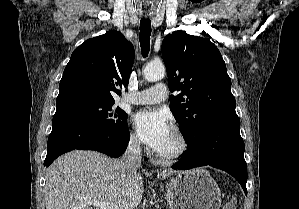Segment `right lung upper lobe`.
<instances>
[{
	"instance_id": "1",
	"label": "right lung upper lobe",
	"mask_w": 299,
	"mask_h": 209,
	"mask_svg": "<svg viewBox=\"0 0 299 209\" xmlns=\"http://www.w3.org/2000/svg\"><path fill=\"white\" fill-rule=\"evenodd\" d=\"M134 62V47L122 33L111 30L76 48L59 85L56 104L75 101L115 102L113 94L126 87Z\"/></svg>"
}]
</instances>
